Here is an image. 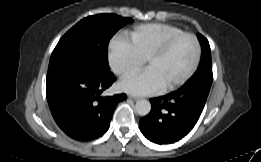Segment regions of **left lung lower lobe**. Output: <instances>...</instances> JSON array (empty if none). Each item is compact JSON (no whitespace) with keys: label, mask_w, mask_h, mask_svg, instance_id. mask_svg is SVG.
<instances>
[{"label":"left lung lower lobe","mask_w":261,"mask_h":162,"mask_svg":"<svg viewBox=\"0 0 261 162\" xmlns=\"http://www.w3.org/2000/svg\"><path fill=\"white\" fill-rule=\"evenodd\" d=\"M210 87L204 81L187 83L151 99V112L139 122L143 135L157 144H170L187 135L202 113Z\"/></svg>","instance_id":"obj_1"}]
</instances>
